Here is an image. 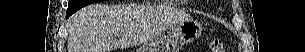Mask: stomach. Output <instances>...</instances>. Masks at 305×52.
<instances>
[{
    "label": "stomach",
    "mask_w": 305,
    "mask_h": 52,
    "mask_svg": "<svg viewBox=\"0 0 305 52\" xmlns=\"http://www.w3.org/2000/svg\"><path fill=\"white\" fill-rule=\"evenodd\" d=\"M202 29L201 23L196 20L182 21L161 31L136 52H179L183 45L196 40Z\"/></svg>",
    "instance_id": "1"
}]
</instances>
